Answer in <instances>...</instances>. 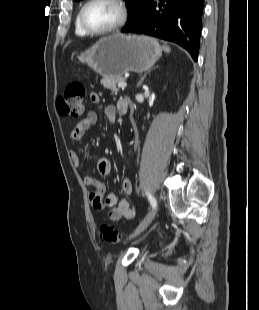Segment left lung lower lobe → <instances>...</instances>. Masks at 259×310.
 <instances>
[{"label": "left lung lower lobe", "instance_id": "left-lung-lower-lobe-1", "mask_svg": "<svg viewBox=\"0 0 259 310\" xmlns=\"http://www.w3.org/2000/svg\"><path fill=\"white\" fill-rule=\"evenodd\" d=\"M204 0H148L139 17L122 28L172 41L197 61Z\"/></svg>", "mask_w": 259, "mask_h": 310}]
</instances>
